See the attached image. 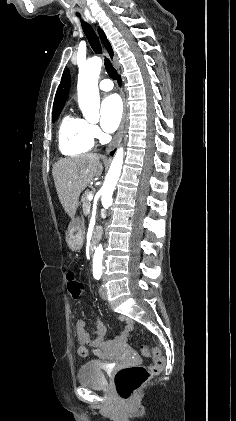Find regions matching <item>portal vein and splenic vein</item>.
I'll return each instance as SVG.
<instances>
[{
	"label": "portal vein and splenic vein",
	"mask_w": 236,
	"mask_h": 421,
	"mask_svg": "<svg viewBox=\"0 0 236 421\" xmlns=\"http://www.w3.org/2000/svg\"><path fill=\"white\" fill-rule=\"evenodd\" d=\"M93 194H88V200H92Z\"/></svg>",
	"instance_id": "portal-vein-and-splenic-vein-1"
}]
</instances>
